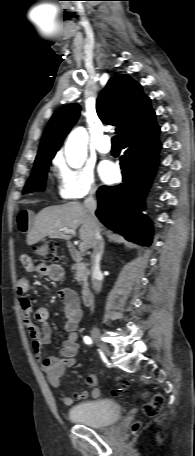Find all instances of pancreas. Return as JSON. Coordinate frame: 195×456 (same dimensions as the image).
<instances>
[{
    "instance_id": "cf45deb5",
    "label": "pancreas",
    "mask_w": 195,
    "mask_h": 456,
    "mask_svg": "<svg viewBox=\"0 0 195 456\" xmlns=\"http://www.w3.org/2000/svg\"><path fill=\"white\" fill-rule=\"evenodd\" d=\"M76 274H75V278L76 280L81 284V283H85L87 281V277L89 275V271L86 267V264L85 263H81L79 265L76 266Z\"/></svg>"
}]
</instances>
